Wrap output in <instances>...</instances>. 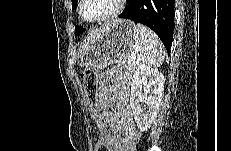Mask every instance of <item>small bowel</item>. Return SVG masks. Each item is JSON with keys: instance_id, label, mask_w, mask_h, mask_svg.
<instances>
[{"instance_id": "c3829d8e", "label": "small bowel", "mask_w": 231, "mask_h": 151, "mask_svg": "<svg viewBox=\"0 0 231 151\" xmlns=\"http://www.w3.org/2000/svg\"><path fill=\"white\" fill-rule=\"evenodd\" d=\"M129 98L127 76L117 69L101 75L99 103L105 122L104 139L109 151H134L136 141L140 138L141 133L134 124ZM112 107L114 111L110 110Z\"/></svg>"}]
</instances>
